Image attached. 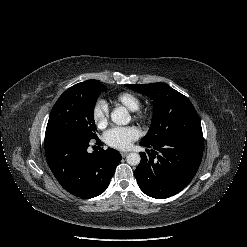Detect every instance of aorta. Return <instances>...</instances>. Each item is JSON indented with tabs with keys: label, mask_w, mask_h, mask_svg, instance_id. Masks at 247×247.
<instances>
[{
	"label": "aorta",
	"mask_w": 247,
	"mask_h": 247,
	"mask_svg": "<svg viewBox=\"0 0 247 247\" xmlns=\"http://www.w3.org/2000/svg\"><path fill=\"white\" fill-rule=\"evenodd\" d=\"M111 120L116 125H127L131 120V116L129 115V112L125 107H119L115 108L111 112ZM140 160V155L135 152L129 153L126 157L127 163L131 166L138 165L140 163Z\"/></svg>",
	"instance_id": "762f6f07"
}]
</instances>
